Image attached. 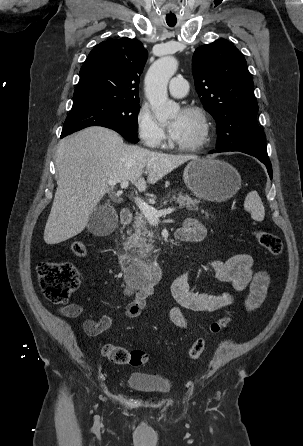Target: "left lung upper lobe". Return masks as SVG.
I'll use <instances>...</instances> for the list:
<instances>
[{"label":"left lung upper lobe","mask_w":303,"mask_h":446,"mask_svg":"<svg viewBox=\"0 0 303 446\" xmlns=\"http://www.w3.org/2000/svg\"><path fill=\"white\" fill-rule=\"evenodd\" d=\"M192 73L204 108L216 120L217 151L268 156L265 135L256 118L253 80L239 50L225 40L198 47Z\"/></svg>","instance_id":"1"}]
</instances>
